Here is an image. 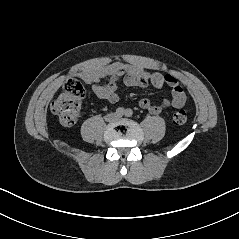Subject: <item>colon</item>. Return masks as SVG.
Wrapping results in <instances>:
<instances>
[{"label":"colon","instance_id":"1","mask_svg":"<svg viewBox=\"0 0 239 239\" xmlns=\"http://www.w3.org/2000/svg\"><path fill=\"white\" fill-rule=\"evenodd\" d=\"M85 93L84 85L77 79H68L64 83L62 93L51 104L52 112L59 117L62 124L71 126L80 118ZM173 121L178 125L187 121V112L183 107L176 109Z\"/></svg>","mask_w":239,"mask_h":239}]
</instances>
